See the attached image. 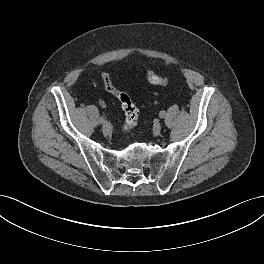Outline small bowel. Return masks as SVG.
I'll return each mask as SVG.
<instances>
[{
	"mask_svg": "<svg viewBox=\"0 0 264 264\" xmlns=\"http://www.w3.org/2000/svg\"><path fill=\"white\" fill-rule=\"evenodd\" d=\"M100 105L104 107L105 106V102L101 100L100 101Z\"/></svg>",
	"mask_w": 264,
	"mask_h": 264,
	"instance_id": "c3829d8e",
	"label": "small bowel"
}]
</instances>
